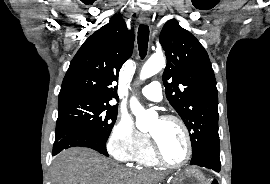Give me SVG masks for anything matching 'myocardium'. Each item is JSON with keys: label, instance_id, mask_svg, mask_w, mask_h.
I'll list each match as a JSON object with an SVG mask.
<instances>
[{"label": "myocardium", "instance_id": "f54148a6", "mask_svg": "<svg viewBox=\"0 0 270 184\" xmlns=\"http://www.w3.org/2000/svg\"><path fill=\"white\" fill-rule=\"evenodd\" d=\"M160 120L165 121V122H174L181 127V129L184 133V136H185V140H186V156L178 164L169 163L162 156V153H161V150H160V147H159L157 140L150 134V142H151V148H152L153 155H154L158 164H160L166 168H169V169H180L188 164V162L191 160L192 153H193L192 139H191L189 129H188L187 125L185 124V122L181 118H179L175 115H164L160 118Z\"/></svg>", "mask_w": 270, "mask_h": 184}]
</instances>
